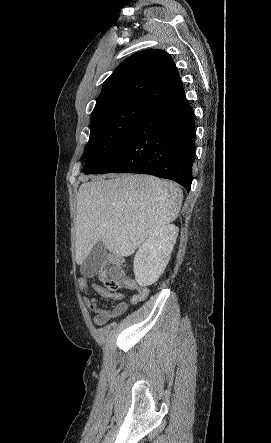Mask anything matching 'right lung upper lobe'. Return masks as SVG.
<instances>
[{
  "instance_id": "1",
  "label": "right lung upper lobe",
  "mask_w": 271,
  "mask_h": 443,
  "mask_svg": "<svg viewBox=\"0 0 271 443\" xmlns=\"http://www.w3.org/2000/svg\"><path fill=\"white\" fill-rule=\"evenodd\" d=\"M184 93L171 56L163 50L148 49L126 58L106 79L95 107L125 100L155 103Z\"/></svg>"
}]
</instances>
